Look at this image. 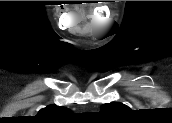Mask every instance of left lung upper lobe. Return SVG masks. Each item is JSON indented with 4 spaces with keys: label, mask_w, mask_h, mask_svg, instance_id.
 <instances>
[{
    "label": "left lung upper lobe",
    "mask_w": 172,
    "mask_h": 123,
    "mask_svg": "<svg viewBox=\"0 0 172 123\" xmlns=\"http://www.w3.org/2000/svg\"><path fill=\"white\" fill-rule=\"evenodd\" d=\"M128 108L126 105L122 103L112 102V103H106L101 106L102 112H121L124 111V109Z\"/></svg>",
    "instance_id": "1"
}]
</instances>
